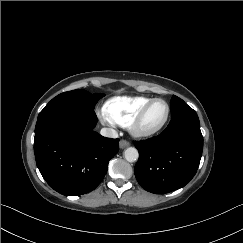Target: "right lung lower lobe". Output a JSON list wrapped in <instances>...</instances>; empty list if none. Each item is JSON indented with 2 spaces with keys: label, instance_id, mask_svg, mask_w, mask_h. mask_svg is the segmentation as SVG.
<instances>
[{
  "label": "right lung lower lobe",
  "instance_id": "98d812e1",
  "mask_svg": "<svg viewBox=\"0 0 243 243\" xmlns=\"http://www.w3.org/2000/svg\"><path fill=\"white\" fill-rule=\"evenodd\" d=\"M94 111L55 107L40 112L35 127L34 153L45 181L66 196L88 193L104 178L119 139L93 129Z\"/></svg>",
  "mask_w": 243,
  "mask_h": 243
}]
</instances>
